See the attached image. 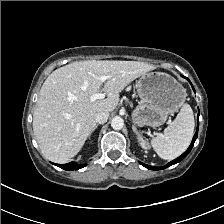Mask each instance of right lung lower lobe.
<instances>
[{"label":"right lung lower lobe","mask_w":224,"mask_h":224,"mask_svg":"<svg viewBox=\"0 0 224 224\" xmlns=\"http://www.w3.org/2000/svg\"><path fill=\"white\" fill-rule=\"evenodd\" d=\"M57 166H59L60 168H63L64 170H78L82 167H84L85 165H78L75 162H70L68 164H56Z\"/></svg>","instance_id":"98d812e1"}]
</instances>
